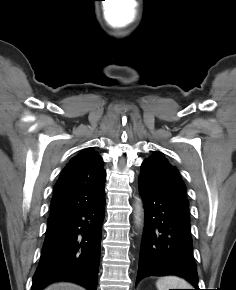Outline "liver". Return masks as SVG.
Instances as JSON below:
<instances>
[{"label": "liver", "instance_id": "6515ba94", "mask_svg": "<svg viewBox=\"0 0 236 290\" xmlns=\"http://www.w3.org/2000/svg\"><path fill=\"white\" fill-rule=\"evenodd\" d=\"M44 290H85L84 288L69 282L54 283Z\"/></svg>", "mask_w": 236, "mask_h": 290}]
</instances>
